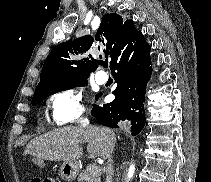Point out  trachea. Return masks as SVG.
Wrapping results in <instances>:
<instances>
[{
  "label": "trachea",
  "mask_w": 211,
  "mask_h": 182,
  "mask_svg": "<svg viewBox=\"0 0 211 182\" xmlns=\"http://www.w3.org/2000/svg\"><path fill=\"white\" fill-rule=\"evenodd\" d=\"M102 65L104 66V67H108V61H104L103 63H102Z\"/></svg>",
  "instance_id": "obj_1"
}]
</instances>
